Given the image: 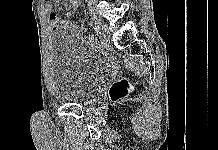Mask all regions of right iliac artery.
I'll list each match as a JSON object with an SVG mask.
<instances>
[{"label": "right iliac artery", "mask_w": 218, "mask_h": 150, "mask_svg": "<svg viewBox=\"0 0 218 150\" xmlns=\"http://www.w3.org/2000/svg\"><path fill=\"white\" fill-rule=\"evenodd\" d=\"M90 30L92 31V39H97V29L93 26L92 22H89Z\"/></svg>", "instance_id": "1"}]
</instances>
